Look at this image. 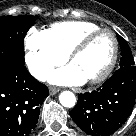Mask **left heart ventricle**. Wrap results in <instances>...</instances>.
I'll return each mask as SVG.
<instances>
[{
  "mask_svg": "<svg viewBox=\"0 0 136 136\" xmlns=\"http://www.w3.org/2000/svg\"><path fill=\"white\" fill-rule=\"evenodd\" d=\"M113 54V40L109 34L96 37L71 63L88 80L100 74Z\"/></svg>",
  "mask_w": 136,
  "mask_h": 136,
  "instance_id": "b2bd125f",
  "label": "left heart ventricle"
}]
</instances>
